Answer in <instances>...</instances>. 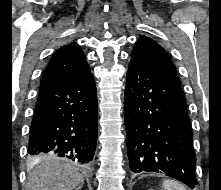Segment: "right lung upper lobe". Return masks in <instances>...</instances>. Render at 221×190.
I'll list each match as a JSON object with an SVG mask.
<instances>
[{
  "label": "right lung upper lobe",
  "instance_id": "right-lung-upper-lobe-1",
  "mask_svg": "<svg viewBox=\"0 0 221 190\" xmlns=\"http://www.w3.org/2000/svg\"><path fill=\"white\" fill-rule=\"evenodd\" d=\"M90 73L86 57L76 43L62 46L52 57L43 74L39 93Z\"/></svg>",
  "mask_w": 221,
  "mask_h": 190
}]
</instances>
